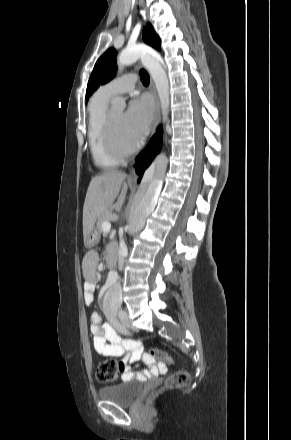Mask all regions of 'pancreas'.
I'll use <instances>...</instances> for the list:
<instances>
[{"label": "pancreas", "mask_w": 291, "mask_h": 440, "mask_svg": "<svg viewBox=\"0 0 291 440\" xmlns=\"http://www.w3.org/2000/svg\"><path fill=\"white\" fill-rule=\"evenodd\" d=\"M108 217H109V214H107L106 212L104 213V214H101L99 217H98V221H97V225H96V228H97V232H98V234H101L102 233V224L105 222V221H107L108 220Z\"/></svg>", "instance_id": "pancreas-1"}]
</instances>
